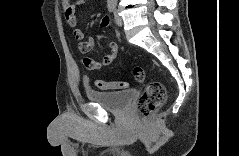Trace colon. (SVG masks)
<instances>
[{
    "label": "colon",
    "mask_w": 239,
    "mask_h": 156,
    "mask_svg": "<svg viewBox=\"0 0 239 156\" xmlns=\"http://www.w3.org/2000/svg\"><path fill=\"white\" fill-rule=\"evenodd\" d=\"M133 75L138 82H144L146 72L141 66L133 69ZM96 85L103 90L123 89L128 86L124 81H101ZM166 101V88L162 81L155 80L150 82L137 102V110L141 117L147 118L158 110Z\"/></svg>",
    "instance_id": "colon-1"
}]
</instances>
